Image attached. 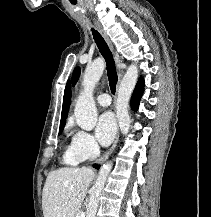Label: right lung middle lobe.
I'll use <instances>...</instances> for the list:
<instances>
[{"instance_id": "right-lung-middle-lobe-1", "label": "right lung middle lobe", "mask_w": 211, "mask_h": 217, "mask_svg": "<svg viewBox=\"0 0 211 217\" xmlns=\"http://www.w3.org/2000/svg\"><path fill=\"white\" fill-rule=\"evenodd\" d=\"M62 131H63V127L60 128V130H59V134H61Z\"/></svg>"}]
</instances>
